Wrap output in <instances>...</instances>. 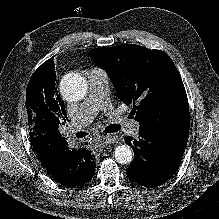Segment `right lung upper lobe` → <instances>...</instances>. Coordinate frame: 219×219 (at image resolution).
Listing matches in <instances>:
<instances>
[{"label":"right lung upper lobe","instance_id":"obj_1","mask_svg":"<svg viewBox=\"0 0 219 219\" xmlns=\"http://www.w3.org/2000/svg\"><path fill=\"white\" fill-rule=\"evenodd\" d=\"M53 69H55L53 59H49L45 63H43L36 70V72H34L35 74H33V78H36L38 73H40V71H43L44 72L43 82H44L45 88H47L48 90L54 91L56 93L57 98L59 100H61L60 95H58L57 88L55 89V78H56V75L54 73L55 70L53 71Z\"/></svg>","mask_w":219,"mask_h":219}]
</instances>
